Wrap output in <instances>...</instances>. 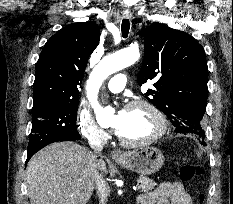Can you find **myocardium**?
I'll list each match as a JSON object with an SVG mask.
<instances>
[{"label": "myocardium", "mask_w": 233, "mask_h": 204, "mask_svg": "<svg viewBox=\"0 0 233 204\" xmlns=\"http://www.w3.org/2000/svg\"><path fill=\"white\" fill-rule=\"evenodd\" d=\"M136 107H145L146 109H148L156 118L158 122V129L150 137L138 141L127 140L117 135V138L121 144L132 148L149 146L157 142L159 139H161L168 130V120L165 114L154 103L146 99H134L128 102L125 106L126 109H131Z\"/></svg>", "instance_id": "myocardium-1"}]
</instances>
